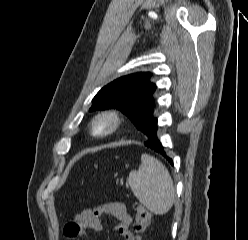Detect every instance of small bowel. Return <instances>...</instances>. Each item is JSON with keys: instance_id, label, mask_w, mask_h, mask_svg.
<instances>
[{"instance_id": "1", "label": "small bowel", "mask_w": 248, "mask_h": 240, "mask_svg": "<svg viewBox=\"0 0 248 240\" xmlns=\"http://www.w3.org/2000/svg\"><path fill=\"white\" fill-rule=\"evenodd\" d=\"M109 215L117 220L115 231L126 240H134L130 230L132 219L121 202H106L88 208L75 215L63 228V236L69 240H80L88 231L103 230L102 217Z\"/></svg>"}]
</instances>
